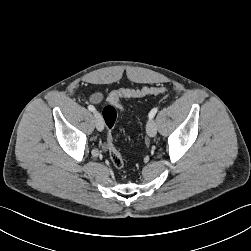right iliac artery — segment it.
Masks as SVG:
<instances>
[{
	"mask_svg": "<svg viewBox=\"0 0 251 251\" xmlns=\"http://www.w3.org/2000/svg\"><path fill=\"white\" fill-rule=\"evenodd\" d=\"M88 109H89L90 111H92V112H95V111H96L95 107L92 106V105H89V106H88Z\"/></svg>",
	"mask_w": 251,
	"mask_h": 251,
	"instance_id": "1",
	"label": "right iliac artery"
}]
</instances>
